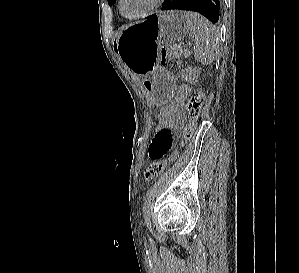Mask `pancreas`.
<instances>
[{
  "mask_svg": "<svg viewBox=\"0 0 299 273\" xmlns=\"http://www.w3.org/2000/svg\"><path fill=\"white\" fill-rule=\"evenodd\" d=\"M176 55L179 56V57H182V56L188 57L190 55V51L189 50H184V52H179Z\"/></svg>",
  "mask_w": 299,
  "mask_h": 273,
  "instance_id": "cf45deb5",
  "label": "pancreas"
}]
</instances>
